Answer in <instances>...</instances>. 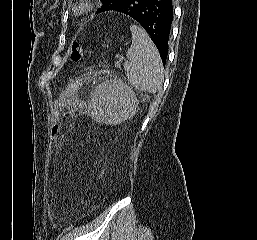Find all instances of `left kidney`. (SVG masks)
Here are the masks:
<instances>
[{"label":"left kidney","mask_w":257,"mask_h":240,"mask_svg":"<svg viewBox=\"0 0 257 240\" xmlns=\"http://www.w3.org/2000/svg\"><path fill=\"white\" fill-rule=\"evenodd\" d=\"M134 91L120 80L102 83L93 96L91 116L97 122L117 125L130 118L137 108Z\"/></svg>","instance_id":"obj_1"}]
</instances>
